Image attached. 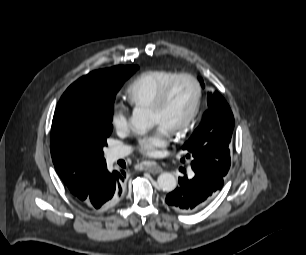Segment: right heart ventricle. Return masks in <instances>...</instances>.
Instances as JSON below:
<instances>
[{
	"mask_svg": "<svg viewBox=\"0 0 306 255\" xmlns=\"http://www.w3.org/2000/svg\"><path fill=\"white\" fill-rule=\"evenodd\" d=\"M177 75V72L165 69L140 73L127 87L129 102L136 108H148L157 94Z\"/></svg>",
	"mask_w": 306,
	"mask_h": 255,
	"instance_id": "obj_1",
	"label": "right heart ventricle"
}]
</instances>
